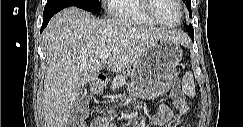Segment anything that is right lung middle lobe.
Listing matches in <instances>:
<instances>
[{"instance_id": "right-lung-middle-lobe-1", "label": "right lung middle lobe", "mask_w": 243, "mask_h": 127, "mask_svg": "<svg viewBox=\"0 0 243 127\" xmlns=\"http://www.w3.org/2000/svg\"><path fill=\"white\" fill-rule=\"evenodd\" d=\"M69 6L79 7L94 14H99L101 11L99 0H47L44 12Z\"/></svg>"}]
</instances>
